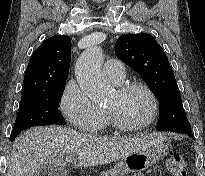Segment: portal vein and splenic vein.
<instances>
[{
  "mask_svg": "<svg viewBox=\"0 0 205 176\" xmlns=\"http://www.w3.org/2000/svg\"><path fill=\"white\" fill-rule=\"evenodd\" d=\"M72 160V155H68V156H66V158H65V162L67 163V162H70Z\"/></svg>",
  "mask_w": 205,
  "mask_h": 176,
  "instance_id": "1",
  "label": "portal vein and splenic vein"
}]
</instances>
